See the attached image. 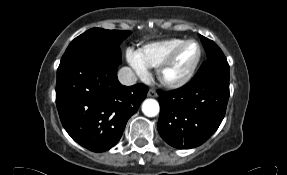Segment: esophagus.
<instances>
[{"label":"esophagus","mask_w":287,"mask_h":175,"mask_svg":"<svg viewBox=\"0 0 287 175\" xmlns=\"http://www.w3.org/2000/svg\"><path fill=\"white\" fill-rule=\"evenodd\" d=\"M147 96H148V97H157L158 94H157V92H156L154 89H150V90L148 91V93H147Z\"/></svg>","instance_id":"esophagus-1"}]
</instances>
